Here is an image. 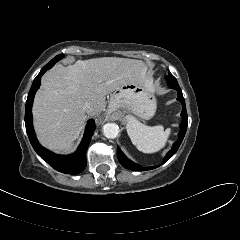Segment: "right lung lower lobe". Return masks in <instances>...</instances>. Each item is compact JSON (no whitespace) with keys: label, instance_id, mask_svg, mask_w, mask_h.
Here are the masks:
<instances>
[{"label":"right lung lower lobe","instance_id":"98d812e1","mask_svg":"<svg viewBox=\"0 0 240 240\" xmlns=\"http://www.w3.org/2000/svg\"><path fill=\"white\" fill-rule=\"evenodd\" d=\"M54 64L55 63L49 62L47 65H45L40 71V73L37 75V77L34 79V82L31 86V89L28 94V98L26 102V110H25L26 131L32 147L44 161H46L54 169L62 173L76 175L78 173H81L86 168V165H87L86 151L91 141V137L94 133V130L96 129L94 120L90 119L88 121V124L85 129L84 137L82 139V142L78 150L74 154H71L68 156L57 155L45 149L44 147H42L37 141L34 128H33V123H32V104H33L34 95L41 84V76L48 69L53 67Z\"/></svg>","mask_w":240,"mask_h":240}]
</instances>
